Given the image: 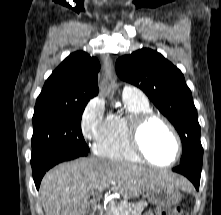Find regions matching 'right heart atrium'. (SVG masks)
Masks as SVG:
<instances>
[{"label":"right heart atrium","instance_id":"obj_1","mask_svg":"<svg viewBox=\"0 0 221 215\" xmlns=\"http://www.w3.org/2000/svg\"><path fill=\"white\" fill-rule=\"evenodd\" d=\"M104 104L99 98L92 99L84 108L80 129L83 137L89 141H96L105 124Z\"/></svg>","mask_w":221,"mask_h":215}]
</instances>
